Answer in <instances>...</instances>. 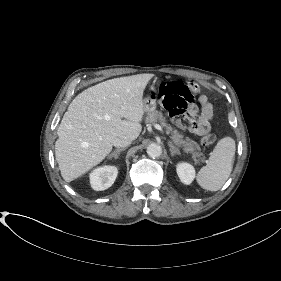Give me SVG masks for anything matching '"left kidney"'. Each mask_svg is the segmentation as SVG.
<instances>
[{"instance_id": "5707ae66", "label": "left kidney", "mask_w": 281, "mask_h": 281, "mask_svg": "<svg viewBox=\"0 0 281 281\" xmlns=\"http://www.w3.org/2000/svg\"><path fill=\"white\" fill-rule=\"evenodd\" d=\"M177 174L182 183L189 185L195 178L194 167L186 162L177 164Z\"/></svg>"}]
</instances>
